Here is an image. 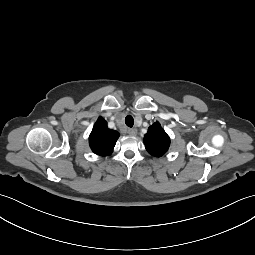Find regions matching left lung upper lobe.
Returning <instances> with one entry per match:
<instances>
[{"mask_svg":"<svg viewBox=\"0 0 255 255\" xmlns=\"http://www.w3.org/2000/svg\"><path fill=\"white\" fill-rule=\"evenodd\" d=\"M144 144L147 151L156 157L165 154L170 145V138L162 129L159 122H155L148 128L144 136Z\"/></svg>","mask_w":255,"mask_h":255,"instance_id":"1","label":"left lung upper lobe"}]
</instances>
